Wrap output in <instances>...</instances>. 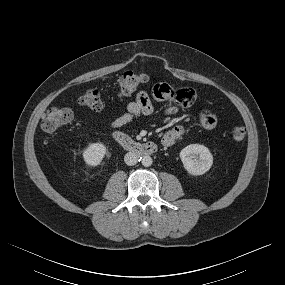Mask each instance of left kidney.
I'll list each match as a JSON object with an SVG mask.
<instances>
[{"label": "left kidney", "mask_w": 285, "mask_h": 285, "mask_svg": "<svg viewBox=\"0 0 285 285\" xmlns=\"http://www.w3.org/2000/svg\"><path fill=\"white\" fill-rule=\"evenodd\" d=\"M180 158L184 168L191 175L205 174L213 164V156L210 150L200 144H191L183 148Z\"/></svg>", "instance_id": "obj_1"}]
</instances>
